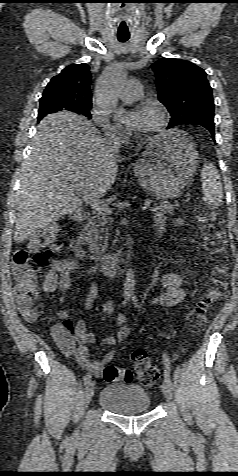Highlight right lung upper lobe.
<instances>
[{"label": "right lung upper lobe", "mask_w": 238, "mask_h": 476, "mask_svg": "<svg viewBox=\"0 0 238 476\" xmlns=\"http://www.w3.org/2000/svg\"><path fill=\"white\" fill-rule=\"evenodd\" d=\"M90 80V67L86 63L71 64L51 79L40 102H51L72 112L91 108Z\"/></svg>", "instance_id": "cb5924a9"}]
</instances>
